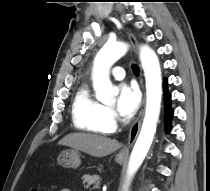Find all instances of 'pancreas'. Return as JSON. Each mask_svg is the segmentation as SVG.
Returning <instances> with one entry per match:
<instances>
[{
    "label": "pancreas",
    "mask_w": 210,
    "mask_h": 191,
    "mask_svg": "<svg viewBox=\"0 0 210 191\" xmlns=\"http://www.w3.org/2000/svg\"><path fill=\"white\" fill-rule=\"evenodd\" d=\"M82 180H83V184L86 188H91V189H99L100 188L101 178L98 175L90 176L87 174L82 177Z\"/></svg>",
    "instance_id": "obj_1"
}]
</instances>
